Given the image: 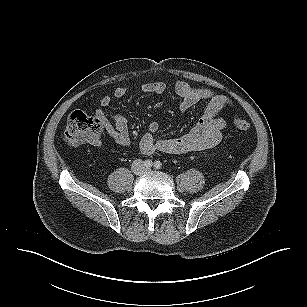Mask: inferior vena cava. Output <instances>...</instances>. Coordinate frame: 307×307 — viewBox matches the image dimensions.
I'll return each instance as SVG.
<instances>
[{"label": "inferior vena cava", "instance_id": "602c4592", "mask_svg": "<svg viewBox=\"0 0 307 307\" xmlns=\"http://www.w3.org/2000/svg\"><path fill=\"white\" fill-rule=\"evenodd\" d=\"M145 167L141 159H136L132 163V170L135 174H141L144 171Z\"/></svg>", "mask_w": 307, "mask_h": 307}]
</instances>
